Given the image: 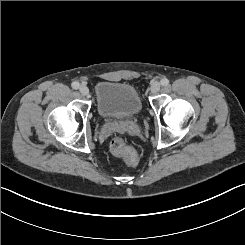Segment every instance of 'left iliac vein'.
<instances>
[{"label":"left iliac vein","instance_id":"left-iliac-vein-1","mask_svg":"<svg viewBox=\"0 0 245 245\" xmlns=\"http://www.w3.org/2000/svg\"><path fill=\"white\" fill-rule=\"evenodd\" d=\"M159 90H160V84L158 82H155L154 84H152V86H151V92L153 94L158 93Z\"/></svg>","mask_w":245,"mask_h":245}]
</instances>
